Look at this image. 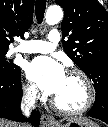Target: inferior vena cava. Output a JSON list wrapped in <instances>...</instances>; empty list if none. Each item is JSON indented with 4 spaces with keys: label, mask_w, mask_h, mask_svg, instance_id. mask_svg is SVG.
Returning a JSON list of instances; mask_svg holds the SVG:
<instances>
[{
    "label": "inferior vena cava",
    "mask_w": 108,
    "mask_h": 127,
    "mask_svg": "<svg viewBox=\"0 0 108 127\" xmlns=\"http://www.w3.org/2000/svg\"><path fill=\"white\" fill-rule=\"evenodd\" d=\"M37 96V89L36 88H29L21 102V111L24 116L28 117L30 115V111L35 107V100ZM23 127H26L27 125H22Z\"/></svg>",
    "instance_id": "inferior-vena-cava-1"
}]
</instances>
